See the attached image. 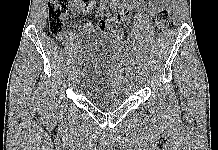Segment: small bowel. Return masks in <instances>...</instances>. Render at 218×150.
<instances>
[{"mask_svg":"<svg viewBox=\"0 0 218 150\" xmlns=\"http://www.w3.org/2000/svg\"><path fill=\"white\" fill-rule=\"evenodd\" d=\"M109 1H112V4L116 7L117 13L122 16V23L127 24L130 20L129 10L131 9V5L127 3V0H104L98 14L106 13L108 11L111 4ZM170 1L171 0H150L144 11L149 16H154L159 10L168 7L170 5ZM71 5L73 10L76 12L82 11L84 14H90L94 6V0H72ZM95 29L96 26L92 23H86L81 29L71 35L66 32L61 33L59 35V39L72 43L73 39H77L83 33L90 32Z\"/></svg>","mask_w":218,"mask_h":150,"instance_id":"small-bowel-1","label":"small bowel"}]
</instances>
